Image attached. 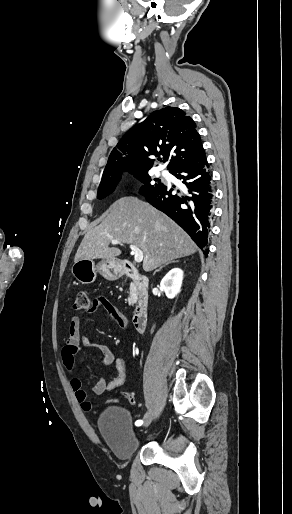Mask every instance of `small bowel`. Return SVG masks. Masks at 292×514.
<instances>
[{"instance_id":"c3829d8e","label":"small bowel","mask_w":292,"mask_h":514,"mask_svg":"<svg viewBox=\"0 0 292 514\" xmlns=\"http://www.w3.org/2000/svg\"><path fill=\"white\" fill-rule=\"evenodd\" d=\"M102 308L109 313L117 323L123 328L128 329L126 320L117 312L114 304L105 296H96L89 307L90 312H94L97 309ZM89 348H96L102 354L100 364L102 366H108L115 362L118 375L109 382H106L103 378H99L95 385L92 387V391L96 395H102L106 392L112 391L119 386H122L129 375V366L124 358H116L112 349L105 343L92 342L87 336L81 334V320L78 316H73L69 322L68 338L63 346L61 352L62 362L68 372L75 370V356ZM70 386L75 393L77 401L81 405L83 412H94L91 409V403L88 399V395L84 390L83 382L80 378L73 376L70 379ZM115 400L118 398H125L130 406H136L138 401L133 399L136 396L134 391H118L114 393ZM113 400L111 395L106 397L104 404L106 406L115 405L116 401Z\"/></svg>"}]
</instances>
